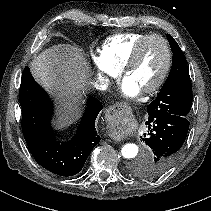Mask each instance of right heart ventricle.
<instances>
[{"label":"right heart ventricle","mask_w":211,"mask_h":211,"mask_svg":"<svg viewBox=\"0 0 211 211\" xmlns=\"http://www.w3.org/2000/svg\"><path fill=\"white\" fill-rule=\"evenodd\" d=\"M145 35V32L113 35L104 41L100 54L109 65L120 70L125 66L134 46Z\"/></svg>","instance_id":"e07e8e85"}]
</instances>
